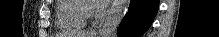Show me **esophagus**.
Masks as SVG:
<instances>
[{"label": "esophagus", "instance_id": "obj_1", "mask_svg": "<svg viewBox=\"0 0 219 37\" xmlns=\"http://www.w3.org/2000/svg\"><path fill=\"white\" fill-rule=\"evenodd\" d=\"M90 34L96 36V35H97V31H96V29L91 30V31H90Z\"/></svg>", "mask_w": 219, "mask_h": 37}]
</instances>
